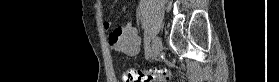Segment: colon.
<instances>
[{"label":"colon","mask_w":279,"mask_h":82,"mask_svg":"<svg viewBox=\"0 0 279 82\" xmlns=\"http://www.w3.org/2000/svg\"><path fill=\"white\" fill-rule=\"evenodd\" d=\"M168 76L167 70L149 69L140 70L130 68L123 72V82H161L165 81Z\"/></svg>","instance_id":"5ec220e1"}]
</instances>
